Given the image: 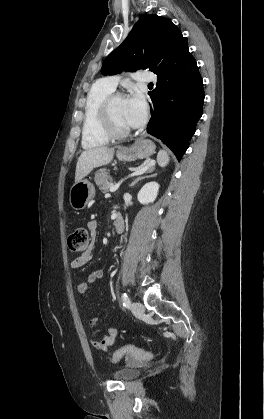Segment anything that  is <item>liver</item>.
Segmentation results:
<instances>
[{"label": "liver", "instance_id": "1", "mask_svg": "<svg viewBox=\"0 0 264 419\" xmlns=\"http://www.w3.org/2000/svg\"><path fill=\"white\" fill-rule=\"evenodd\" d=\"M114 156V148L96 147L85 150L78 158L75 182L81 181L94 168L109 164Z\"/></svg>", "mask_w": 264, "mask_h": 419}]
</instances>
